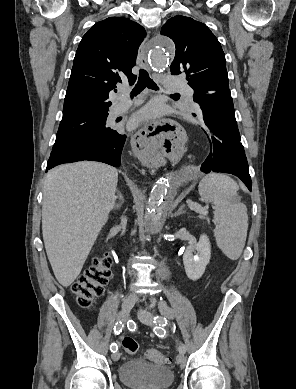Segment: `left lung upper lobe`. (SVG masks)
I'll return each instance as SVG.
<instances>
[{"label": "left lung upper lobe", "instance_id": "1", "mask_svg": "<svg viewBox=\"0 0 296 389\" xmlns=\"http://www.w3.org/2000/svg\"><path fill=\"white\" fill-rule=\"evenodd\" d=\"M161 35L174 41L176 54L171 72L185 74L194 90L195 102L202 106L206 95L229 91L224 52L205 24L190 17L175 16L162 26Z\"/></svg>", "mask_w": 296, "mask_h": 389}]
</instances>
